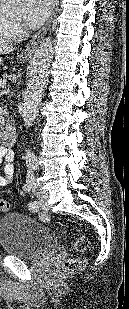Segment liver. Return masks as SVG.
<instances>
[{"label":"liver","instance_id":"obj_1","mask_svg":"<svg viewBox=\"0 0 129 309\" xmlns=\"http://www.w3.org/2000/svg\"><path fill=\"white\" fill-rule=\"evenodd\" d=\"M14 50H16V48L8 43H0V55L1 54H9L11 52H13Z\"/></svg>","mask_w":129,"mask_h":309}]
</instances>
